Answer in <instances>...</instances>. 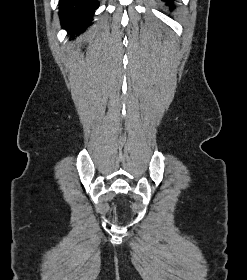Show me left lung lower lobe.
<instances>
[{"instance_id":"obj_1","label":"left lung lower lobe","mask_w":247,"mask_h":280,"mask_svg":"<svg viewBox=\"0 0 247 280\" xmlns=\"http://www.w3.org/2000/svg\"><path fill=\"white\" fill-rule=\"evenodd\" d=\"M162 1H166L167 6L171 5L170 11H172L175 8V6L173 5V0H162Z\"/></svg>"}]
</instances>
